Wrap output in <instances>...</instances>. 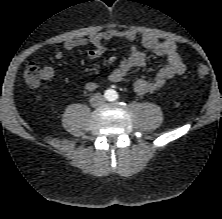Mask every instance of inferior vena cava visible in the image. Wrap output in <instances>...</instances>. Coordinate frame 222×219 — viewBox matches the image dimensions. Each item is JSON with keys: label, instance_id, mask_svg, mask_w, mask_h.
<instances>
[{"label": "inferior vena cava", "instance_id": "602c4592", "mask_svg": "<svg viewBox=\"0 0 222 219\" xmlns=\"http://www.w3.org/2000/svg\"><path fill=\"white\" fill-rule=\"evenodd\" d=\"M92 106H97L99 104H102L104 102V98L101 94H94L90 99Z\"/></svg>", "mask_w": 222, "mask_h": 219}]
</instances>
